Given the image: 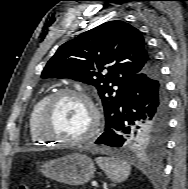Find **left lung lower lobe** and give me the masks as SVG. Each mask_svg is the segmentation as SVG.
I'll return each instance as SVG.
<instances>
[{"label":"left lung lower lobe","mask_w":188,"mask_h":189,"mask_svg":"<svg viewBox=\"0 0 188 189\" xmlns=\"http://www.w3.org/2000/svg\"><path fill=\"white\" fill-rule=\"evenodd\" d=\"M168 99L165 84L155 60L134 76L125 88V95L95 144L126 146L133 130L145 125L167 127Z\"/></svg>","instance_id":"0a47b994"}]
</instances>
